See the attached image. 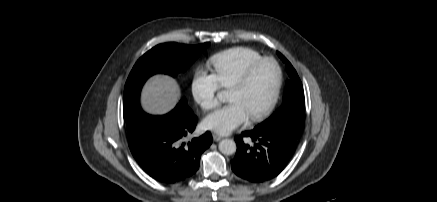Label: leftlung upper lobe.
<instances>
[{
	"mask_svg": "<svg viewBox=\"0 0 437 202\" xmlns=\"http://www.w3.org/2000/svg\"><path fill=\"white\" fill-rule=\"evenodd\" d=\"M277 54L286 64V71L289 75L283 104L267 120L255 128H281L298 137L305 114V97L302 83L290 62L281 53L277 52Z\"/></svg>",
	"mask_w": 437,
	"mask_h": 202,
	"instance_id": "5c2ea615",
	"label": "left lung upper lobe"
}]
</instances>
